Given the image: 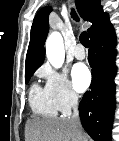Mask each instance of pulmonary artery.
<instances>
[{"instance_id": "obj_1", "label": "pulmonary artery", "mask_w": 119, "mask_h": 141, "mask_svg": "<svg viewBox=\"0 0 119 141\" xmlns=\"http://www.w3.org/2000/svg\"><path fill=\"white\" fill-rule=\"evenodd\" d=\"M73 55L78 60H83L86 57V52L81 44H78L73 49Z\"/></svg>"}]
</instances>
